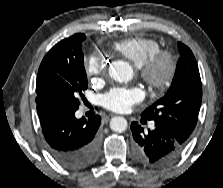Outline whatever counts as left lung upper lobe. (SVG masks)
I'll return each instance as SVG.
<instances>
[{"label": "left lung upper lobe", "instance_id": "1", "mask_svg": "<svg viewBox=\"0 0 223 188\" xmlns=\"http://www.w3.org/2000/svg\"><path fill=\"white\" fill-rule=\"evenodd\" d=\"M180 58L171 87L164 97L147 108L142 116L167 127L183 141L194 130L202 100V84L192 51L178 42Z\"/></svg>", "mask_w": 223, "mask_h": 188}]
</instances>
